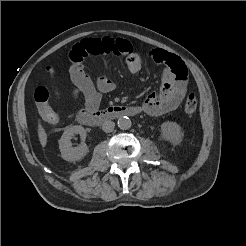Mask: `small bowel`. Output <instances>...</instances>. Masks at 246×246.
Here are the masks:
<instances>
[{
    "label": "small bowel",
    "mask_w": 246,
    "mask_h": 246,
    "mask_svg": "<svg viewBox=\"0 0 246 246\" xmlns=\"http://www.w3.org/2000/svg\"><path fill=\"white\" fill-rule=\"evenodd\" d=\"M114 55L126 59L130 73H138L143 66V59L134 50L130 42L124 39L99 38L84 39L70 52V77L73 83L72 97L84 99V108L96 110L103 94L115 89V84L105 76L93 81L85 72L82 64L88 56ZM149 57L161 65L162 85L158 92L150 93L142 105V112L151 116H161L174 111L186 95L188 72L181 58L162 49H153Z\"/></svg>",
    "instance_id": "small-bowel-1"
}]
</instances>
